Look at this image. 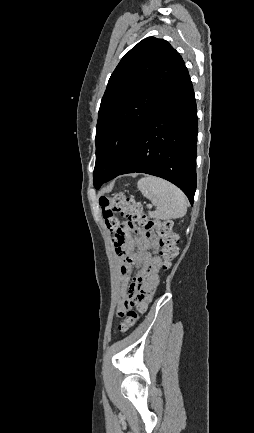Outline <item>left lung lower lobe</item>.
<instances>
[{"label":"left lung lower lobe","instance_id":"obj_1","mask_svg":"<svg viewBox=\"0 0 254 433\" xmlns=\"http://www.w3.org/2000/svg\"><path fill=\"white\" fill-rule=\"evenodd\" d=\"M197 134L195 96L184 65L141 128L125 160L105 182L118 175L142 172L172 182L193 204Z\"/></svg>","mask_w":254,"mask_h":433}]
</instances>
